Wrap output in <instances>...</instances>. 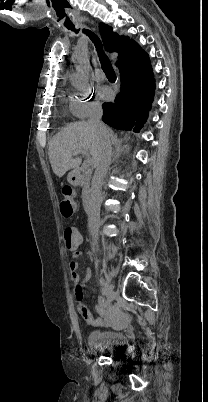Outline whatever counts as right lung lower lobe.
Segmentation results:
<instances>
[{"label": "right lung lower lobe", "instance_id": "1", "mask_svg": "<svg viewBox=\"0 0 208 402\" xmlns=\"http://www.w3.org/2000/svg\"><path fill=\"white\" fill-rule=\"evenodd\" d=\"M121 91L113 103H104L103 122L115 129L139 132L148 118L155 94L149 57L130 40L118 57Z\"/></svg>", "mask_w": 208, "mask_h": 402}]
</instances>
